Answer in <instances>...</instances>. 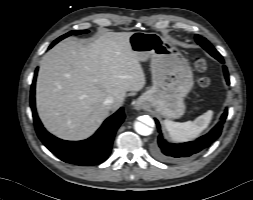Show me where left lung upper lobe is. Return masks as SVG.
<instances>
[{
	"instance_id": "left-lung-upper-lobe-1",
	"label": "left lung upper lobe",
	"mask_w": 253,
	"mask_h": 200,
	"mask_svg": "<svg viewBox=\"0 0 253 200\" xmlns=\"http://www.w3.org/2000/svg\"><path fill=\"white\" fill-rule=\"evenodd\" d=\"M196 42L201 45L210 55L215 57L217 60L221 61L223 60L220 53L211 45L209 41H207L205 38L196 35L195 36Z\"/></svg>"
}]
</instances>
